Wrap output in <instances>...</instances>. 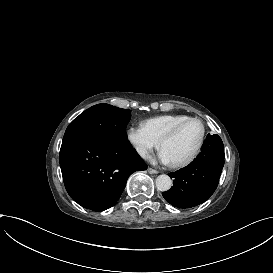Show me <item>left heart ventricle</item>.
Listing matches in <instances>:
<instances>
[{"instance_id": "1", "label": "left heart ventricle", "mask_w": 273, "mask_h": 273, "mask_svg": "<svg viewBox=\"0 0 273 273\" xmlns=\"http://www.w3.org/2000/svg\"><path fill=\"white\" fill-rule=\"evenodd\" d=\"M202 134L199 121L186 124L174 138L167 141L162 150L165 151L171 163L187 159L195 150Z\"/></svg>"}]
</instances>
